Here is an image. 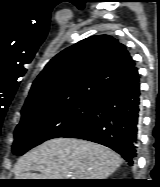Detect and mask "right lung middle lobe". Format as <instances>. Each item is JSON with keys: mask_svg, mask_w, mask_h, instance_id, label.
Listing matches in <instances>:
<instances>
[{"mask_svg": "<svg viewBox=\"0 0 160 187\" xmlns=\"http://www.w3.org/2000/svg\"><path fill=\"white\" fill-rule=\"evenodd\" d=\"M98 99H74L22 112L15 129L13 153L21 156L46 140L73 131L93 114Z\"/></svg>", "mask_w": 160, "mask_h": 187, "instance_id": "obj_1", "label": "right lung middle lobe"}]
</instances>
